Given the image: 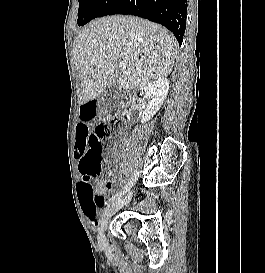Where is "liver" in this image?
I'll return each instance as SVG.
<instances>
[{"mask_svg":"<svg viewBox=\"0 0 265 273\" xmlns=\"http://www.w3.org/2000/svg\"><path fill=\"white\" fill-rule=\"evenodd\" d=\"M178 42L165 27L132 16L95 19L73 45L81 80L80 104L99 97L116 83L133 90L170 74ZM127 63L119 73L118 62Z\"/></svg>","mask_w":265,"mask_h":273,"instance_id":"obj_1","label":"liver"}]
</instances>
